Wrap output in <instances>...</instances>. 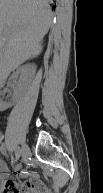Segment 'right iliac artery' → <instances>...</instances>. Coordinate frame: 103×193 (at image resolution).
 Masks as SVG:
<instances>
[{
    "label": "right iliac artery",
    "instance_id": "right-iliac-artery-1",
    "mask_svg": "<svg viewBox=\"0 0 103 193\" xmlns=\"http://www.w3.org/2000/svg\"><path fill=\"white\" fill-rule=\"evenodd\" d=\"M20 155H21L20 148H16V151H15L16 161L20 158Z\"/></svg>",
    "mask_w": 103,
    "mask_h": 193
}]
</instances>
